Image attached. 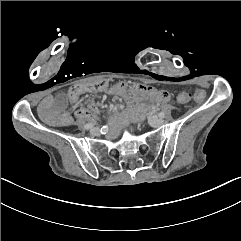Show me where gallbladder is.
<instances>
[{
	"label": "gallbladder",
	"mask_w": 241,
	"mask_h": 241,
	"mask_svg": "<svg viewBox=\"0 0 241 241\" xmlns=\"http://www.w3.org/2000/svg\"><path fill=\"white\" fill-rule=\"evenodd\" d=\"M69 98L66 93L58 92L53 99V110L56 115L63 116L69 109Z\"/></svg>",
	"instance_id": "obj_1"
}]
</instances>
